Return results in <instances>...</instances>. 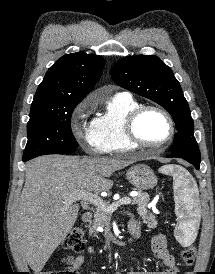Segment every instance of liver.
Masks as SVG:
<instances>
[{
  "label": "liver",
  "mask_w": 215,
  "mask_h": 274,
  "mask_svg": "<svg viewBox=\"0 0 215 274\" xmlns=\"http://www.w3.org/2000/svg\"><path fill=\"white\" fill-rule=\"evenodd\" d=\"M132 160L42 156L26 165L25 185L13 218L16 249L37 274L74 226L79 205L65 195L99 193L113 186L109 177Z\"/></svg>",
  "instance_id": "liver-1"
}]
</instances>
